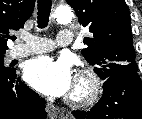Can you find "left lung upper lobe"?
<instances>
[{
    "label": "left lung upper lobe",
    "mask_w": 142,
    "mask_h": 119,
    "mask_svg": "<svg viewBox=\"0 0 142 119\" xmlns=\"http://www.w3.org/2000/svg\"><path fill=\"white\" fill-rule=\"evenodd\" d=\"M78 22L93 34L84 38L82 55L106 80L115 74L136 70L131 18L125 0H67Z\"/></svg>",
    "instance_id": "1"
}]
</instances>
